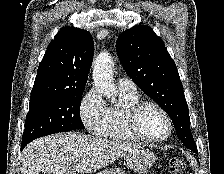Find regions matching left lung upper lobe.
<instances>
[{
  "label": "left lung upper lobe",
  "mask_w": 224,
  "mask_h": 174,
  "mask_svg": "<svg viewBox=\"0 0 224 174\" xmlns=\"http://www.w3.org/2000/svg\"><path fill=\"white\" fill-rule=\"evenodd\" d=\"M116 51L129 77L168 113L182 143L197 152L182 82L160 37L148 26H136L121 33Z\"/></svg>",
  "instance_id": "1"
}]
</instances>
